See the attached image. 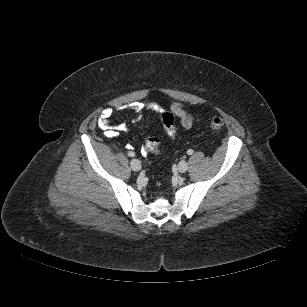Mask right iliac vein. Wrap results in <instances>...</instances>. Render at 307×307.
<instances>
[{
	"mask_svg": "<svg viewBox=\"0 0 307 307\" xmlns=\"http://www.w3.org/2000/svg\"><path fill=\"white\" fill-rule=\"evenodd\" d=\"M130 167L133 171H139L141 169V163L138 159H132L130 162Z\"/></svg>",
	"mask_w": 307,
	"mask_h": 307,
	"instance_id": "right-iliac-vein-1",
	"label": "right iliac vein"
}]
</instances>
